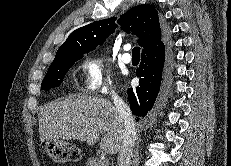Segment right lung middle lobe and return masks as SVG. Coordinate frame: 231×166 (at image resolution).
Returning <instances> with one entry per match:
<instances>
[{
	"mask_svg": "<svg viewBox=\"0 0 231 166\" xmlns=\"http://www.w3.org/2000/svg\"><path fill=\"white\" fill-rule=\"evenodd\" d=\"M83 56H61L55 59L50 65L46 76L44 77L41 89L47 90L58 87L68 72V69Z\"/></svg>",
	"mask_w": 231,
	"mask_h": 166,
	"instance_id": "right-lung-middle-lobe-1",
	"label": "right lung middle lobe"
}]
</instances>
